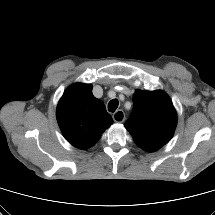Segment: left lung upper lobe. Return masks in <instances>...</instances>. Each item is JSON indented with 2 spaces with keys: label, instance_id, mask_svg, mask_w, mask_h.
Here are the masks:
<instances>
[{
  "label": "left lung upper lobe",
  "instance_id": "1",
  "mask_svg": "<svg viewBox=\"0 0 215 215\" xmlns=\"http://www.w3.org/2000/svg\"><path fill=\"white\" fill-rule=\"evenodd\" d=\"M133 111L125 127L144 151L154 152L168 143L177 125L170 98L161 90H136Z\"/></svg>",
  "mask_w": 215,
  "mask_h": 215
}]
</instances>
